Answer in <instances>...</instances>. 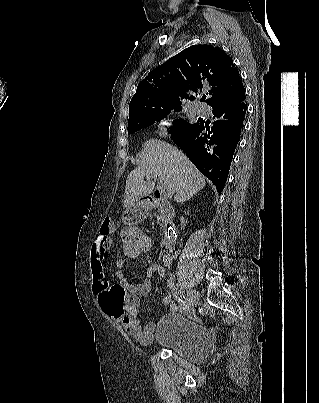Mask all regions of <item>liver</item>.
I'll return each mask as SVG.
<instances>
[{"mask_svg": "<svg viewBox=\"0 0 319 403\" xmlns=\"http://www.w3.org/2000/svg\"><path fill=\"white\" fill-rule=\"evenodd\" d=\"M140 156L138 167L127 176L123 200L126 208L154 190V182L144 181L145 176L154 173L165 183L168 194L174 195V201L179 203L189 200L205 187L204 176L183 152L169 143L147 140Z\"/></svg>", "mask_w": 319, "mask_h": 403, "instance_id": "liver-1", "label": "liver"}]
</instances>
